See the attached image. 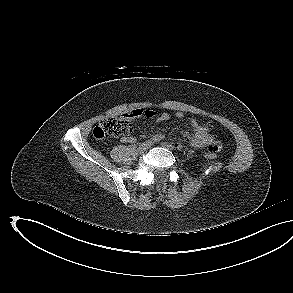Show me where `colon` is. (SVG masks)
Listing matches in <instances>:
<instances>
[{
  "mask_svg": "<svg viewBox=\"0 0 293 293\" xmlns=\"http://www.w3.org/2000/svg\"><path fill=\"white\" fill-rule=\"evenodd\" d=\"M132 132V124L125 117H109L104 119L99 125L93 129V136L97 140H103L106 137L127 136ZM206 156L209 159H215L216 154L213 151H208Z\"/></svg>",
  "mask_w": 293,
  "mask_h": 293,
  "instance_id": "5ec220e1",
  "label": "colon"
}]
</instances>
